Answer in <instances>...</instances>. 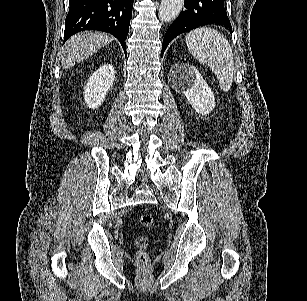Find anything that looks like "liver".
Masks as SVG:
<instances>
[{
  "label": "liver",
  "instance_id": "obj_1",
  "mask_svg": "<svg viewBox=\"0 0 307 301\" xmlns=\"http://www.w3.org/2000/svg\"><path fill=\"white\" fill-rule=\"evenodd\" d=\"M114 40V36L106 32H92V30H83L70 36L61 48L60 58L62 68H71L78 62H83L85 58L92 56L102 46H106Z\"/></svg>",
  "mask_w": 307,
  "mask_h": 301
}]
</instances>
